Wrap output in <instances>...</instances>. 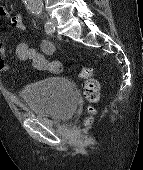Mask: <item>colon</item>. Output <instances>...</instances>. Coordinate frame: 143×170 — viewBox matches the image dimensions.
I'll use <instances>...</instances> for the list:
<instances>
[{"label":"colon","instance_id":"colon-1","mask_svg":"<svg viewBox=\"0 0 143 170\" xmlns=\"http://www.w3.org/2000/svg\"><path fill=\"white\" fill-rule=\"evenodd\" d=\"M55 70L60 71L61 65H57L55 67ZM80 77L84 81L83 87H84V95L86 99L90 103L96 102L100 97V84L95 78H93L91 68L89 67L82 68L80 72ZM92 110L93 109L90 108V112H92Z\"/></svg>","mask_w":143,"mask_h":170}]
</instances>
